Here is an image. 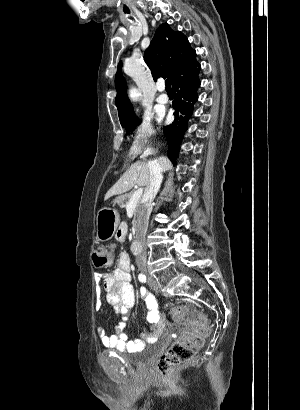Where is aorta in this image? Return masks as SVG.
<instances>
[{
	"instance_id": "obj_1",
	"label": "aorta",
	"mask_w": 300,
	"mask_h": 410,
	"mask_svg": "<svg viewBox=\"0 0 300 410\" xmlns=\"http://www.w3.org/2000/svg\"><path fill=\"white\" fill-rule=\"evenodd\" d=\"M138 96H139V92L136 88H133V89L130 90V97L132 99H137Z\"/></svg>"
}]
</instances>
